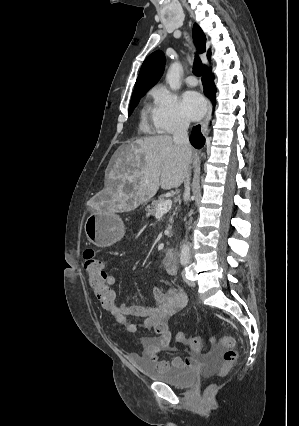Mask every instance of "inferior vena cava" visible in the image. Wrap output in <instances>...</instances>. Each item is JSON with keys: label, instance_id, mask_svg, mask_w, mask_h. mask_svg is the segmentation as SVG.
Instances as JSON below:
<instances>
[{"label": "inferior vena cava", "instance_id": "obj_1", "mask_svg": "<svg viewBox=\"0 0 299 426\" xmlns=\"http://www.w3.org/2000/svg\"><path fill=\"white\" fill-rule=\"evenodd\" d=\"M188 128H189V121L186 119H183L179 122L174 134H173V140L175 143L182 146L186 151L190 150V144H189V138H188ZM189 169V167H188ZM186 179L184 181V197L189 198L190 196V173L189 170H187ZM186 220V218H184Z\"/></svg>", "mask_w": 299, "mask_h": 426}]
</instances>
